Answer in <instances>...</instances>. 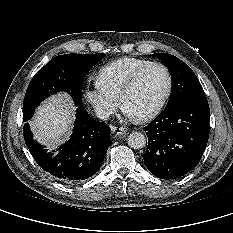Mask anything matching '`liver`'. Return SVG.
Instances as JSON below:
<instances>
[{"mask_svg": "<svg viewBox=\"0 0 233 233\" xmlns=\"http://www.w3.org/2000/svg\"><path fill=\"white\" fill-rule=\"evenodd\" d=\"M74 111L67 96L52 97L30 121L35 139L55 148L70 132Z\"/></svg>", "mask_w": 233, "mask_h": 233, "instance_id": "6515ba94", "label": "liver"}]
</instances>
